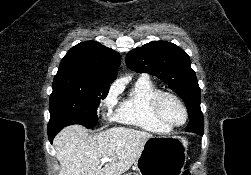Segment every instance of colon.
Wrapping results in <instances>:
<instances>
[{
  "label": "colon",
  "instance_id": "colon-1",
  "mask_svg": "<svg viewBox=\"0 0 251 175\" xmlns=\"http://www.w3.org/2000/svg\"><path fill=\"white\" fill-rule=\"evenodd\" d=\"M182 175H191L188 170L184 171Z\"/></svg>",
  "mask_w": 251,
  "mask_h": 175
}]
</instances>
